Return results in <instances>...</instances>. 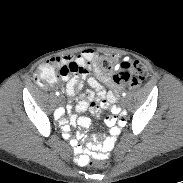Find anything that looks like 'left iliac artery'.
I'll return each instance as SVG.
<instances>
[{"mask_svg": "<svg viewBox=\"0 0 183 183\" xmlns=\"http://www.w3.org/2000/svg\"><path fill=\"white\" fill-rule=\"evenodd\" d=\"M122 96L125 97V96H126V93L124 92V93L122 94Z\"/></svg>", "mask_w": 183, "mask_h": 183, "instance_id": "obj_1", "label": "left iliac artery"}]
</instances>
